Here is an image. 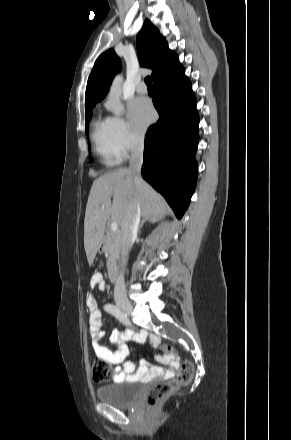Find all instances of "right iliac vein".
I'll list each match as a JSON object with an SVG mask.
<instances>
[{"instance_id":"63e3f726","label":"right iliac vein","mask_w":291,"mask_h":440,"mask_svg":"<svg viewBox=\"0 0 291 440\" xmlns=\"http://www.w3.org/2000/svg\"><path fill=\"white\" fill-rule=\"evenodd\" d=\"M119 307L127 314H131L132 305L128 300H121L118 302Z\"/></svg>"}]
</instances>
